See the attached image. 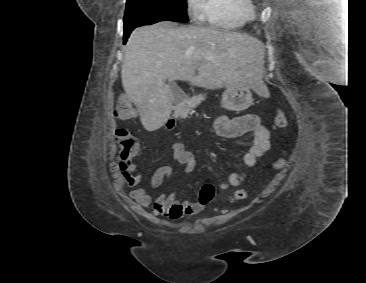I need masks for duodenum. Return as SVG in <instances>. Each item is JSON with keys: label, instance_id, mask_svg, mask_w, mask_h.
<instances>
[{"label": "duodenum", "instance_id": "410a0bca", "mask_svg": "<svg viewBox=\"0 0 366 283\" xmlns=\"http://www.w3.org/2000/svg\"><path fill=\"white\" fill-rule=\"evenodd\" d=\"M171 126H172V122L170 121V122H169V127H171Z\"/></svg>", "mask_w": 366, "mask_h": 283}]
</instances>
